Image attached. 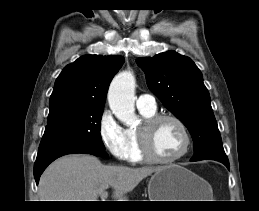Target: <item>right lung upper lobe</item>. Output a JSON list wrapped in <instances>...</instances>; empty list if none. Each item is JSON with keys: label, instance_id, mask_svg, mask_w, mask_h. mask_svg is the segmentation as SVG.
I'll return each instance as SVG.
<instances>
[{"label": "right lung upper lobe", "instance_id": "right-lung-upper-lobe-1", "mask_svg": "<svg viewBox=\"0 0 259 211\" xmlns=\"http://www.w3.org/2000/svg\"><path fill=\"white\" fill-rule=\"evenodd\" d=\"M123 62L119 55H84L67 65L55 82L48 118L73 109L104 108L109 84Z\"/></svg>", "mask_w": 259, "mask_h": 211}]
</instances>
